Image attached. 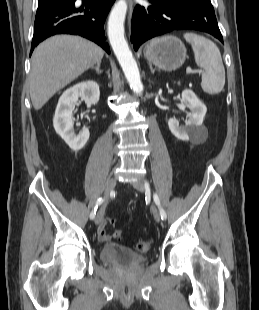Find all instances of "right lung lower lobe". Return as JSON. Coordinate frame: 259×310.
<instances>
[{"label":"right lung lower lobe","mask_w":259,"mask_h":310,"mask_svg":"<svg viewBox=\"0 0 259 310\" xmlns=\"http://www.w3.org/2000/svg\"><path fill=\"white\" fill-rule=\"evenodd\" d=\"M75 1L37 9L30 55L40 42L61 33L86 37L110 53L103 25L115 0H82L80 8L75 7Z\"/></svg>","instance_id":"obj_1"}]
</instances>
